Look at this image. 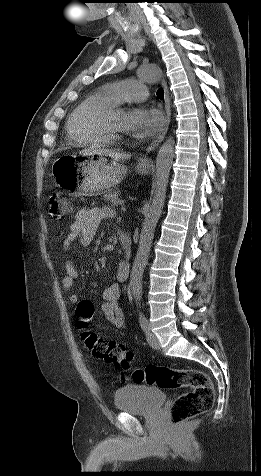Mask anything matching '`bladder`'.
Here are the masks:
<instances>
[{"mask_svg":"<svg viewBox=\"0 0 261 476\" xmlns=\"http://www.w3.org/2000/svg\"><path fill=\"white\" fill-rule=\"evenodd\" d=\"M166 394L161 388L133 384L121 387L114 394L116 408L132 415H150L165 402Z\"/></svg>","mask_w":261,"mask_h":476,"instance_id":"1","label":"bladder"}]
</instances>
